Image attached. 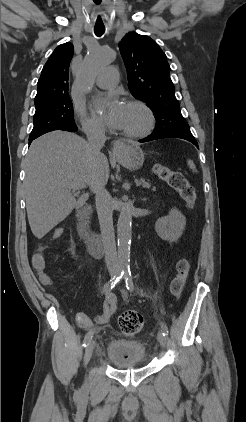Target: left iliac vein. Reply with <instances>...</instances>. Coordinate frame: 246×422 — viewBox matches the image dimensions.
Masks as SVG:
<instances>
[{
	"mask_svg": "<svg viewBox=\"0 0 246 422\" xmlns=\"http://www.w3.org/2000/svg\"><path fill=\"white\" fill-rule=\"evenodd\" d=\"M158 342L161 345V347H165L166 344V336L163 335V331L160 330L158 332Z\"/></svg>",
	"mask_w": 246,
	"mask_h": 422,
	"instance_id": "1",
	"label": "left iliac vein"
}]
</instances>
